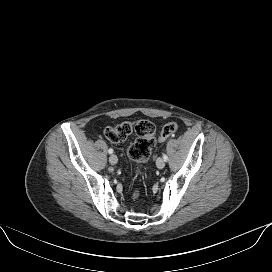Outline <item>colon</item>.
Wrapping results in <instances>:
<instances>
[{
    "label": "colon",
    "instance_id": "5ec220e1",
    "mask_svg": "<svg viewBox=\"0 0 272 272\" xmlns=\"http://www.w3.org/2000/svg\"><path fill=\"white\" fill-rule=\"evenodd\" d=\"M177 129L178 124L176 122H168L161 129L159 141H165ZM155 131V125L151 121L141 119L134 122L126 121L116 126H109L105 128L104 135L110 142L119 143L125 141L134 132L137 138L129 147L128 154L136 163H143L148 160L155 146ZM135 173L139 175L141 174V170L137 168ZM133 198L135 200L139 199L137 191L133 192Z\"/></svg>",
    "mask_w": 272,
    "mask_h": 272
}]
</instances>
